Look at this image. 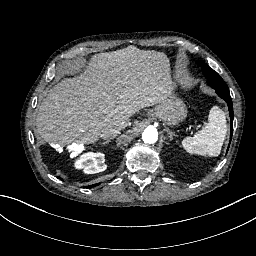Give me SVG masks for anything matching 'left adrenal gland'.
<instances>
[{
  "mask_svg": "<svg viewBox=\"0 0 256 256\" xmlns=\"http://www.w3.org/2000/svg\"><path fill=\"white\" fill-rule=\"evenodd\" d=\"M164 130L167 132L170 141L173 140V137H174V136H177V135L175 134V132L171 131L168 127L165 128Z\"/></svg>",
  "mask_w": 256,
  "mask_h": 256,
  "instance_id": "obj_1",
  "label": "left adrenal gland"
}]
</instances>
